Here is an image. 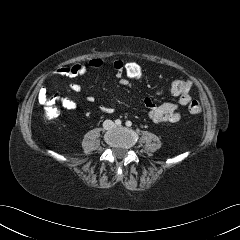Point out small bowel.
Returning a JSON list of instances; mask_svg holds the SVG:
<instances>
[{
  "mask_svg": "<svg viewBox=\"0 0 240 240\" xmlns=\"http://www.w3.org/2000/svg\"><path fill=\"white\" fill-rule=\"evenodd\" d=\"M123 64L124 62L122 60L115 59L112 62V68L114 69L116 77L119 79L121 85L130 87L131 81L127 79L122 72ZM88 65L92 69H101L104 66V62L101 58L95 57L89 60ZM87 72L88 67L82 62H77L71 66L61 67L58 70L60 75L67 77L84 76ZM69 89L75 93H79L82 91V85L72 82L69 84ZM162 91L163 90L160 89L157 92L161 93ZM85 99L90 103L95 101V97L93 95H87ZM191 100V96L187 93L179 96L175 102H166L161 105H156L152 99L146 97L143 100V104L148 109L149 118L154 123H176L181 119L180 108L188 105ZM38 101L43 106H51L59 103L68 110H73L77 106L76 101L60 94L49 97L45 88L40 89L38 93ZM100 109L105 113H112L114 111V109L109 106H101Z\"/></svg>",
  "mask_w": 240,
  "mask_h": 240,
  "instance_id": "c3829d8e",
  "label": "small bowel"
}]
</instances>
